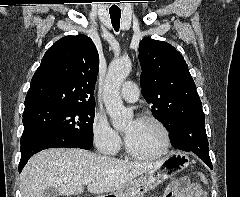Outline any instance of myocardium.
<instances>
[{
	"label": "myocardium",
	"mask_w": 240,
	"mask_h": 197,
	"mask_svg": "<svg viewBox=\"0 0 240 197\" xmlns=\"http://www.w3.org/2000/svg\"><path fill=\"white\" fill-rule=\"evenodd\" d=\"M138 120L153 122L161 129L164 137L163 147L161 148V150L153 154H139L134 150H132V148L129 146L125 138V141H124L125 153L129 157L137 160H156L166 155L171 147V135L166 124L160 118L151 114H143L138 118Z\"/></svg>",
	"instance_id": "myocardium-1"
}]
</instances>
